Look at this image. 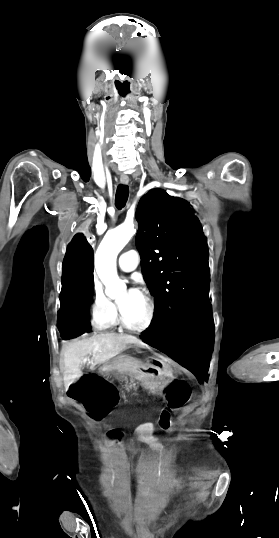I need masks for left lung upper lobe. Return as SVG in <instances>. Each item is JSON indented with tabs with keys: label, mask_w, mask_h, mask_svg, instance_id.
Returning a JSON list of instances; mask_svg holds the SVG:
<instances>
[{
	"label": "left lung upper lobe",
	"mask_w": 279,
	"mask_h": 538,
	"mask_svg": "<svg viewBox=\"0 0 279 538\" xmlns=\"http://www.w3.org/2000/svg\"><path fill=\"white\" fill-rule=\"evenodd\" d=\"M142 272L155 309L146 333L172 328L198 301L209 297V251L188 203L153 189L136 210Z\"/></svg>",
	"instance_id": "left-lung-upper-lobe-1"
}]
</instances>
